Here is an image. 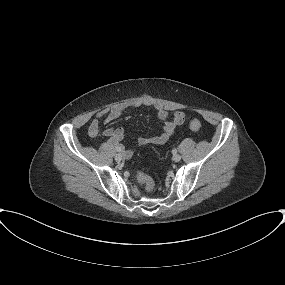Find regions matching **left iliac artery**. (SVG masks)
<instances>
[{
    "instance_id": "44dca946",
    "label": "left iliac artery",
    "mask_w": 285,
    "mask_h": 285,
    "mask_svg": "<svg viewBox=\"0 0 285 285\" xmlns=\"http://www.w3.org/2000/svg\"><path fill=\"white\" fill-rule=\"evenodd\" d=\"M172 153H173V154H176V153H177V150H176V149H173V150H172Z\"/></svg>"
}]
</instances>
